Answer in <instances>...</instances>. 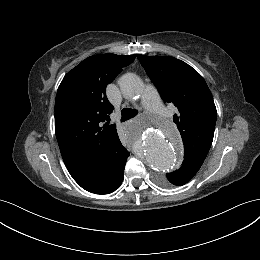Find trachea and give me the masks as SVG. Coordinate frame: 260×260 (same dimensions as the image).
Listing matches in <instances>:
<instances>
[{"label":"trachea","mask_w":260,"mask_h":260,"mask_svg":"<svg viewBox=\"0 0 260 260\" xmlns=\"http://www.w3.org/2000/svg\"><path fill=\"white\" fill-rule=\"evenodd\" d=\"M138 114V111L135 109H122L121 111V122L127 121Z\"/></svg>","instance_id":"obj_1"}]
</instances>
